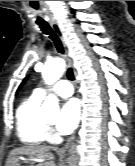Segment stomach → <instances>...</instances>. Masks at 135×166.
<instances>
[{
    "label": "stomach",
    "instance_id": "1",
    "mask_svg": "<svg viewBox=\"0 0 135 166\" xmlns=\"http://www.w3.org/2000/svg\"><path fill=\"white\" fill-rule=\"evenodd\" d=\"M19 161H20L19 157H14L6 164V166H19ZM36 166H45V165L44 164H39V165H36Z\"/></svg>",
    "mask_w": 135,
    "mask_h": 166
}]
</instances>
